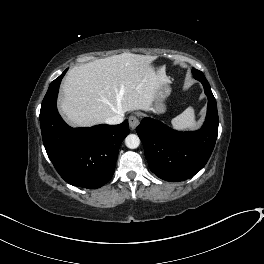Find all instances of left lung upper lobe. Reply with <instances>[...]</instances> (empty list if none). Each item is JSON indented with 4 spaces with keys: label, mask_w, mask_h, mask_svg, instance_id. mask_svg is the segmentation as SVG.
Segmentation results:
<instances>
[{
    "label": "left lung upper lobe",
    "mask_w": 264,
    "mask_h": 264,
    "mask_svg": "<svg viewBox=\"0 0 264 264\" xmlns=\"http://www.w3.org/2000/svg\"><path fill=\"white\" fill-rule=\"evenodd\" d=\"M192 73H193L194 76H196V75L197 76L203 75V73L201 71H199V70H197L195 68L192 69Z\"/></svg>",
    "instance_id": "5c2ea615"
}]
</instances>
